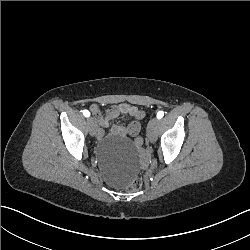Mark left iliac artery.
<instances>
[{"mask_svg":"<svg viewBox=\"0 0 250 250\" xmlns=\"http://www.w3.org/2000/svg\"><path fill=\"white\" fill-rule=\"evenodd\" d=\"M163 116H164V112H163V111H159V112L157 113V118H158V119H161Z\"/></svg>","mask_w":250,"mask_h":250,"instance_id":"left-iliac-artery-1","label":"left iliac artery"}]
</instances>
